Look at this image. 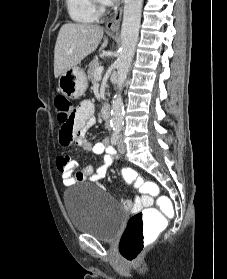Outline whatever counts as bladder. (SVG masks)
I'll return each instance as SVG.
<instances>
[{"mask_svg": "<svg viewBox=\"0 0 227 279\" xmlns=\"http://www.w3.org/2000/svg\"><path fill=\"white\" fill-rule=\"evenodd\" d=\"M63 204L76 231L88 233L100 241H112L122 230L124 216L120 203L97 194L84 184L65 191Z\"/></svg>", "mask_w": 227, "mask_h": 279, "instance_id": "obj_1", "label": "bladder"}]
</instances>
